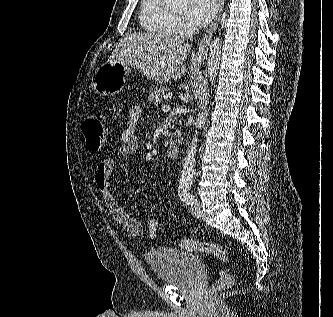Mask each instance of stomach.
Listing matches in <instances>:
<instances>
[{
    "label": "stomach",
    "instance_id": "0dacf381",
    "mask_svg": "<svg viewBox=\"0 0 333 317\" xmlns=\"http://www.w3.org/2000/svg\"><path fill=\"white\" fill-rule=\"evenodd\" d=\"M128 72L127 65L106 62L96 70L92 79V88L100 95H114L123 88Z\"/></svg>",
    "mask_w": 333,
    "mask_h": 317
}]
</instances>
